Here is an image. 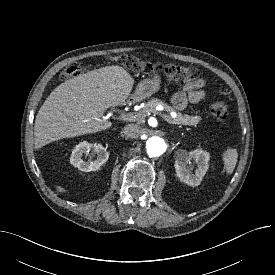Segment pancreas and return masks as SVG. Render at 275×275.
<instances>
[{"label": "pancreas", "mask_w": 275, "mask_h": 275, "mask_svg": "<svg viewBox=\"0 0 275 275\" xmlns=\"http://www.w3.org/2000/svg\"><path fill=\"white\" fill-rule=\"evenodd\" d=\"M158 105H163L168 111H172V108L167 106L163 101L153 98L152 100L147 102L142 110H140V112L137 114L136 119L139 121H143L148 113L156 112L155 108ZM168 117L171 119L172 122H174V124H183L189 126L197 125L202 119L199 116H189L187 114L182 115L181 113H177L176 118H172L170 116Z\"/></svg>", "instance_id": "obj_1"}]
</instances>
